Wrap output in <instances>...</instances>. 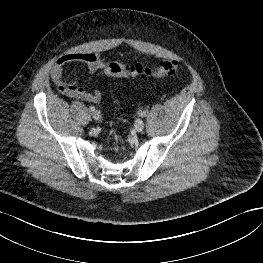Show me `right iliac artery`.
<instances>
[{"label": "right iliac artery", "instance_id": "right-iliac-artery-1", "mask_svg": "<svg viewBox=\"0 0 263 263\" xmlns=\"http://www.w3.org/2000/svg\"><path fill=\"white\" fill-rule=\"evenodd\" d=\"M89 110L92 111V112H94V111H95V107H94V106H90V107H89Z\"/></svg>", "mask_w": 263, "mask_h": 263}]
</instances>
